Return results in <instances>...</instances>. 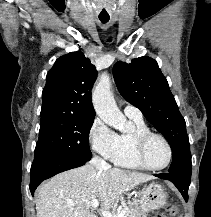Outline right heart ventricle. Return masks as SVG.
Instances as JSON below:
<instances>
[{
    "label": "right heart ventricle",
    "mask_w": 211,
    "mask_h": 217,
    "mask_svg": "<svg viewBox=\"0 0 211 217\" xmlns=\"http://www.w3.org/2000/svg\"><path fill=\"white\" fill-rule=\"evenodd\" d=\"M133 122L135 129L131 133H123L118 135L117 149L111 161L119 167L129 169H144L137 159L135 152V138L136 135L150 131L142 118L129 117Z\"/></svg>",
    "instance_id": "e07e8e85"
}]
</instances>
